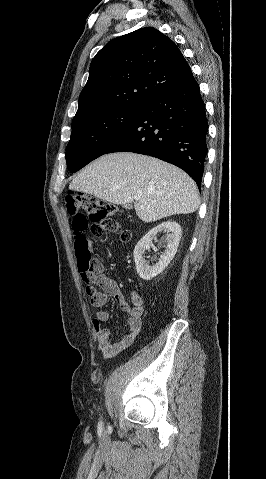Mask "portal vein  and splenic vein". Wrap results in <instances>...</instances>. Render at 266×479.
Instances as JSON below:
<instances>
[{
    "mask_svg": "<svg viewBox=\"0 0 266 479\" xmlns=\"http://www.w3.org/2000/svg\"><path fill=\"white\" fill-rule=\"evenodd\" d=\"M134 199H135V200H139V199H140V195H135V196H134Z\"/></svg>",
    "mask_w": 266,
    "mask_h": 479,
    "instance_id": "obj_1",
    "label": "portal vein and splenic vein"
}]
</instances>
